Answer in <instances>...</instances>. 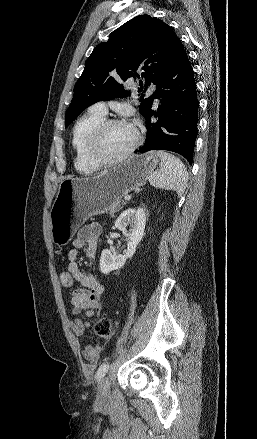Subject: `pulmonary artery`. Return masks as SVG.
Returning <instances> with one entry per match:
<instances>
[{
    "label": "pulmonary artery",
    "mask_w": 257,
    "mask_h": 439,
    "mask_svg": "<svg viewBox=\"0 0 257 439\" xmlns=\"http://www.w3.org/2000/svg\"><path fill=\"white\" fill-rule=\"evenodd\" d=\"M154 93V88H150L149 90H148V95H152ZM156 103H158V100L156 99ZM92 110H94V111H96V112H98V113H101V114H103V115H105L106 114V112H107V108H106V106H105V104L103 103V102H98V103H95L93 106H92V108H91Z\"/></svg>",
    "instance_id": "obj_1"
}]
</instances>
